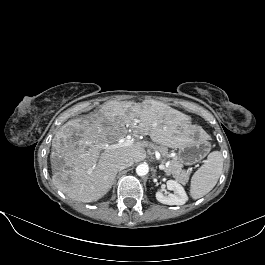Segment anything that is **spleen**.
Wrapping results in <instances>:
<instances>
[{
  "mask_svg": "<svg viewBox=\"0 0 265 265\" xmlns=\"http://www.w3.org/2000/svg\"><path fill=\"white\" fill-rule=\"evenodd\" d=\"M223 170V157L220 151L211 152L205 163L191 178L190 195L199 199L209 193L217 184Z\"/></svg>",
  "mask_w": 265,
  "mask_h": 265,
  "instance_id": "3e777b00",
  "label": "spleen"
}]
</instances>
